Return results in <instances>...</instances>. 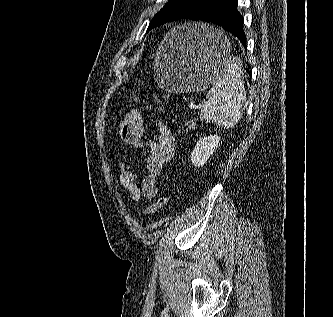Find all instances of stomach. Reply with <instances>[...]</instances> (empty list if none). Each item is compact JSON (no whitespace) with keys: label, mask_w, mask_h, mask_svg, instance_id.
Listing matches in <instances>:
<instances>
[{"label":"stomach","mask_w":333,"mask_h":317,"mask_svg":"<svg viewBox=\"0 0 333 317\" xmlns=\"http://www.w3.org/2000/svg\"><path fill=\"white\" fill-rule=\"evenodd\" d=\"M216 24H181L170 30L160 43L154 58L155 81L164 95H205L218 81V74H228L239 55L232 52L231 41Z\"/></svg>","instance_id":"0dacf381"}]
</instances>
